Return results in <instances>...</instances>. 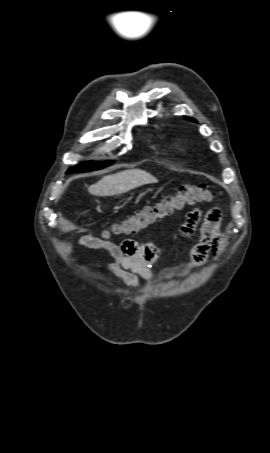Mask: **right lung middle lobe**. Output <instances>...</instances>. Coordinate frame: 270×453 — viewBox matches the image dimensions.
<instances>
[{
  "instance_id": "obj_1",
  "label": "right lung middle lobe",
  "mask_w": 270,
  "mask_h": 453,
  "mask_svg": "<svg viewBox=\"0 0 270 453\" xmlns=\"http://www.w3.org/2000/svg\"><path fill=\"white\" fill-rule=\"evenodd\" d=\"M112 164V162L108 161V162H85V163H82L78 166H75V167H72L68 170L69 173H73V172H87V171H93V170H97V169H101L103 167H106L108 165Z\"/></svg>"
}]
</instances>
